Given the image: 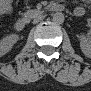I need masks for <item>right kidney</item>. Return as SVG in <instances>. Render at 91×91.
<instances>
[{
  "label": "right kidney",
  "mask_w": 91,
  "mask_h": 91,
  "mask_svg": "<svg viewBox=\"0 0 91 91\" xmlns=\"http://www.w3.org/2000/svg\"><path fill=\"white\" fill-rule=\"evenodd\" d=\"M19 36L17 34H11L0 41V54L5 55L7 52H9L13 45L18 41Z\"/></svg>",
  "instance_id": "ca27d5eb"
}]
</instances>
